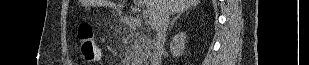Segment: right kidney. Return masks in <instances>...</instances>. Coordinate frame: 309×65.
Returning <instances> with one entry per match:
<instances>
[{"mask_svg": "<svg viewBox=\"0 0 309 65\" xmlns=\"http://www.w3.org/2000/svg\"><path fill=\"white\" fill-rule=\"evenodd\" d=\"M186 33H177L170 42V52L174 57H180L184 53Z\"/></svg>", "mask_w": 309, "mask_h": 65, "instance_id": "obj_1", "label": "right kidney"}]
</instances>
